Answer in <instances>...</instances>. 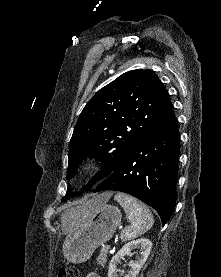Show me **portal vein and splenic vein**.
I'll return each mask as SVG.
<instances>
[{"label": "portal vein and splenic vein", "instance_id": "18ae733b", "mask_svg": "<svg viewBox=\"0 0 221 277\" xmlns=\"http://www.w3.org/2000/svg\"><path fill=\"white\" fill-rule=\"evenodd\" d=\"M109 248H110L109 245H105V246L103 247L104 250H108Z\"/></svg>", "mask_w": 221, "mask_h": 277}]
</instances>
